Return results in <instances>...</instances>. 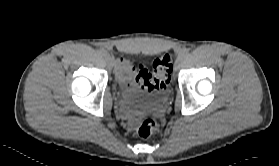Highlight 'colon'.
<instances>
[{
	"label": "colon",
	"instance_id": "1",
	"mask_svg": "<svg viewBox=\"0 0 279 166\" xmlns=\"http://www.w3.org/2000/svg\"><path fill=\"white\" fill-rule=\"evenodd\" d=\"M153 70L150 72L145 64H141L135 75V82L138 87L146 92L163 91L167 88L171 72L172 58L166 54L154 60ZM158 123L154 118H146L138 128V135L141 138L150 137L157 129Z\"/></svg>",
	"mask_w": 279,
	"mask_h": 166
}]
</instances>
